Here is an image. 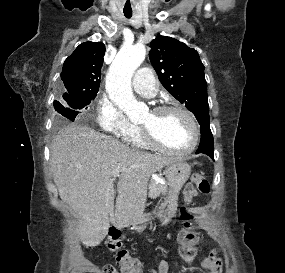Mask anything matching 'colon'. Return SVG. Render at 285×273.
<instances>
[{
	"label": "colon",
	"instance_id": "obj_1",
	"mask_svg": "<svg viewBox=\"0 0 285 273\" xmlns=\"http://www.w3.org/2000/svg\"><path fill=\"white\" fill-rule=\"evenodd\" d=\"M210 192V186L207 179L200 175L195 174L192 176L191 182L186 185L184 189V196H182L183 205L186 207L179 208V218L181 222L186 225V229L179 235V255L184 262L190 264L197 256V242L198 236L191 228V216L193 211H189L190 207L194 205L193 198L198 194L207 195ZM105 246L109 252L114 255L116 267L122 273H140V261L131 256L130 253L123 247V242L117 231L112 230L108 238L105 240ZM103 273H118L117 269L112 266L104 268Z\"/></svg>",
	"mask_w": 285,
	"mask_h": 273
}]
</instances>
